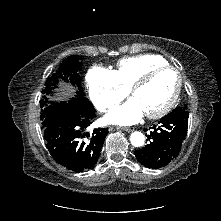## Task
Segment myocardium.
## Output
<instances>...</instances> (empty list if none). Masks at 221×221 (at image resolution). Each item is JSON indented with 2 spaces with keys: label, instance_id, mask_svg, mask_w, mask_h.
Wrapping results in <instances>:
<instances>
[{
  "label": "myocardium",
  "instance_id": "f54148a6",
  "mask_svg": "<svg viewBox=\"0 0 221 221\" xmlns=\"http://www.w3.org/2000/svg\"><path fill=\"white\" fill-rule=\"evenodd\" d=\"M164 70H172L176 73L177 86H176L173 96L164 107H162L160 110L156 112L145 114L146 117H148L149 119H158V118L165 116L176 105L179 99L181 90H182V85H183V78H182V74L180 70L170 64L158 65V66L152 67L148 69L130 88V94L133 96L137 90L147 85L157 73L164 71Z\"/></svg>",
  "mask_w": 221,
  "mask_h": 221
}]
</instances>
